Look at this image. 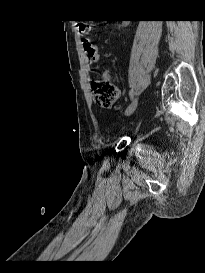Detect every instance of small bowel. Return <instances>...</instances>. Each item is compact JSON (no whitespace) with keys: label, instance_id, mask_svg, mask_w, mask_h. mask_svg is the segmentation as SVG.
I'll use <instances>...</instances> for the list:
<instances>
[{"label":"small bowel","instance_id":"obj_1","mask_svg":"<svg viewBox=\"0 0 205 273\" xmlns=\"http://www.w3.org/2000/svg\"><path fill=\"white\" fill-rule=\"evenodd\" d=\"M83 51L86 56L94 63H99L101 61V55L99 49L90 40H83L82 42ZM104 77L108 80L111 79L110 73L106 72Z\"/></svg>","mask_w":205,"mask_h":273}]
</instances>
